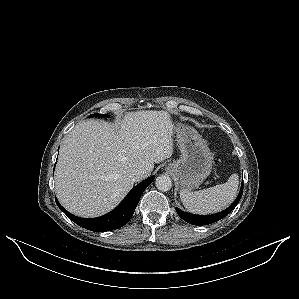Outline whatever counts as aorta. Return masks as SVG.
<instances>
[{"instance_id": "1", "label": "aorta", "mask_w": 299, "mask_h": 299, "mask_svg": "<svg viewBox=\"0 0 299 299\" xmlns=\"http://www.w3.org/2000/svg\"><path fill=\"white\" fill-rule=\"evenodd\" d=\"M156 187L162 192L169 191L172 188V180L168 175H160L155 181Z\"/></svg>"}]
</instances>
